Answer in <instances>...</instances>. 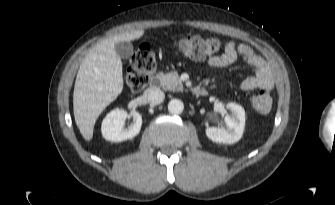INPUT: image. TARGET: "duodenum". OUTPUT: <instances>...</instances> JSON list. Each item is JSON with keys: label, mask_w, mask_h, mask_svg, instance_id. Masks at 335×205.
I'll return each mask as SVG.
<instances>
[{"label": "duodenum", "mask_w": 335, "mask_h": 205, "mask_svg": "<svg viewBox=\"0 0 335 205\" xmlns=\"http://www.w3.org/2000/svg\"><path fill=\"white\" fill-rule=\"evenodd\" d=\"M157 84H158V78L157 77H153L151 79V85L152 86H156ZM195 93L197 95L205 96V95H207L208 92H207V90L205 88H197L195 90Z\"/></svg>", "instance_id": "1"}]
</instances>
